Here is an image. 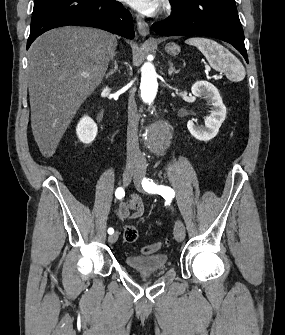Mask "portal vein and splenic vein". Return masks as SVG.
<instances>
[{"label":"portal vein and splenic vein","mask_w":285,"mask_h":335,"mask_svg":"<svg viewBox=\"0 0 285 335\" xmlns=\"http://www.w3.org/2000/svg\"><path fill=\"white\" fill-rule=\"evenodd\" d=\"M83 78H89V74H82Z\"/></svg>","instance_id":"portal-vein-and-splenic-vein-1"}]
</instances>
